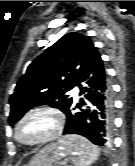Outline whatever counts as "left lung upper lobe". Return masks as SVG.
<instances>
[{
	"label": "left lung upper lobe",
	"instance_id": "left-lung-upper-lobe-1",
	"mask_svg": "<svg viewBox=\"0 0 135 166\" xmlns=\"http://www.w3.org/2000/svg\"><path fill=\"white\" fill-rule=\"evenodd\" d=\"M96 54L90 38L75 32L46 49L17 82L10 97L9 123L19 121L29 109L44 104L65 112L73 103L67 93L78 84Z\"/></svg>",
	"mask_w": 135,
	"mask_h": 166
}]
</instances>
